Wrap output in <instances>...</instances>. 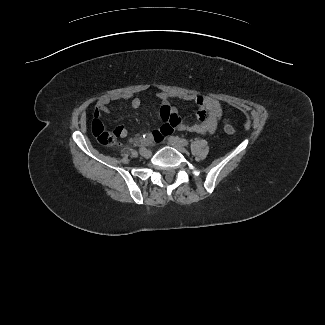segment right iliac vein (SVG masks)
I'll use <instances>...</instances> for the list:
<instances>
[{
	"instance_id": "obj_1",
	"label": "right iliac vein",
	"mask_w": 325,
	"mask_h": 325,
	"mask_svg": "<svg viewBox=\"0 0 325 325\" xmlns=\"http://www.w3.org/2000/svg\"><path fill=\"white\" fill-rule=\"evenodd\" d=\"M143 157H145V158H149L151 155H152V153H151V151L150 150H147V149H145L143 152H141L140 153Z\"/></svg>"
}]
</instances>
